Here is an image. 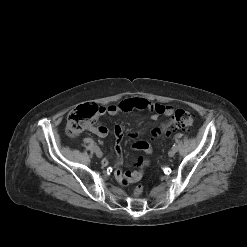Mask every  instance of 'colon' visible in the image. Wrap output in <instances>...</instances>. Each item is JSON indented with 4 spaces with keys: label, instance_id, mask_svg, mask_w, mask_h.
<instances>
[{
    "label": "colon",
    "instance_id": "obj_1",
    "mask_svg": "<svg viewBox=\"0 0 247 247\" xmlns=\"http://www.w3.org/2000/svg\"><path fill=\"white\" fill-rule=\"evenodd\" d=\"M100 108L94 104H83L73 109L67 117L66 130L70 136H77L96 120ZM194 124V115L186 110L175 111L171 121L160 129H155L154 136L170 135L177 131H186ZM142 192V186L135 189L136 194Z\"/></svg>",
    "mask_w": 247,
    "mask_h": 247
}]
</instances>
